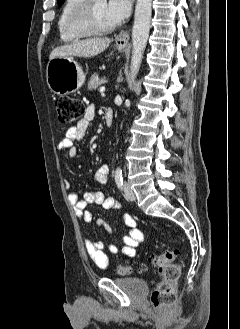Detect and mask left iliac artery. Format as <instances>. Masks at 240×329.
Masks as SVG:
<instances>
[{
	"mask_svg": "<svg viewBox=\"0 0 240 329\" xmlns=\"http://www.w3.org/2000/svg\"><path fill=\"white\" fill-rule=\"evenodd\" d=\"M115 181L119 188L122 189L123 186V175H122V169L120 167H117L115 171Z\"/></svg>",
	"mask_w": 240,
	"mask_h": 329,
	"instance_id": "1",
	"label": "left iliac artery"
}]
</instances>
